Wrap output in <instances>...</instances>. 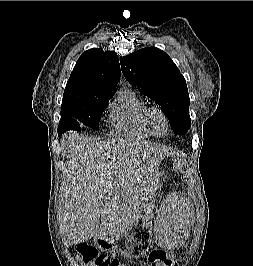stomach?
Segmentation results:
<instances>
[{"instance_id": "0dacf381", "label": "stomach", "mask_w": 253, "mask_h": 266, "mask_svg": "<svg viewBox=\"0 0 253 266\" xmlns=\"http://www.w3.org/2000/svg\"><path fill=\"white\" fill-rule=\"evenodd\" d=\"M95 241L102 251H117L126 258H138L148 252L152 245L151 217L144 214L138 223L119 236L108 239L99 237Z\"/></svg>"}]
</instances>
